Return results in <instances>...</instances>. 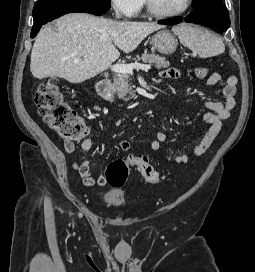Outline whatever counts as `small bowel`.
<instances>
[{
  "mask_svg": "<svg viewBox=\"0 0 255 272\" xmlns=\"http://www.w3.org/2000/svg\"><path fill=\"white\" fill-rule=\"evenodd\" d=\"M181 72L176 69H167L160 72V78L164 79H178L181 77ZM223 82V77L220 73H212L207 79V86H214ZM238 78L236 75H230L224 81L223 86V95L224 102L219 101H208L206 102V107L209 109V112L205 113L204 120L208 123L209 128L204 135L201 143L196 147L193 155L200 156L202 155L212 144L216 136L219 134L222 122L228 119L231 115V111L236 105V85ZM166 135L164 132L159 131L156 134V138L151 142L150 148L152 151H157L160 149L161 145L165 142ZM120 149L122 151H129L131 149V144L128 140H122L119 143ZM82 150L85 152L91 151L93 148V140L91 136H88L82 142ZM66 152L71 154L74 158L72 164L73 168L79 172L82 177L83 184L86 186H105L107 184V179L105 175L95 174L91 171L90 164L88 161H79V156L75 152L74 146H66ZM168 160L175 163H186L189 160L188 155H179L174 158H168Z\"/></svg>",
  "mask_w": 255,
  "mask_h": 272,
  "instance_id": "1",
  "label": "small bowel"
}]
</instances>
